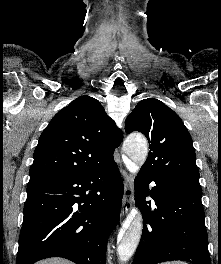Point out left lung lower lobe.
Here are the masks:
<instances>
[{
  "mask_svg": "<svg viewBox=\"0 0 221 264\" xmlns=\"http://www.w3.org/2000/svg\"><path fill=\"white\" fill-rule=\"evenodd\" d=\"M155 182L151 190L149 183ZM135 184L143 231L133 264L182 260L211 264L201 203L202 191L176 185L140 170ZM151 195L156 208L145 201Z\"/></svg>",
  "mask_w": 221,
  "mask_h": 264,
  "instance_id": "left-lung-lower-lobe-1",
  "label": "left lung lower lobe"
}]
</instances>
